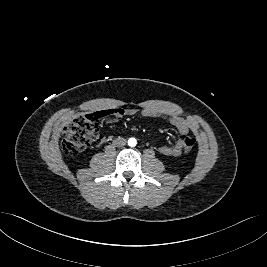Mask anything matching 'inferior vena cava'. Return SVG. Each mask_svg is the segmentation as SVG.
Returning <instances> with one entry per match:
<instances>
[{
	"label": "inferior vena cava",
	"mask_w": 267,
	"mask_h": 267,
	"mask_svg": "<svg viewBox=\"0 0 267 267\" xmlns=\"http://www.w3.org/2000/svg\"><path fill=\"white\" fill-rule=\"evenodd\" d=\"M113 143L117 147H122L126 144V139L119 137V138L115 139Z\"/></svg>",
	"instance_id": "1"
}]
</instances>
